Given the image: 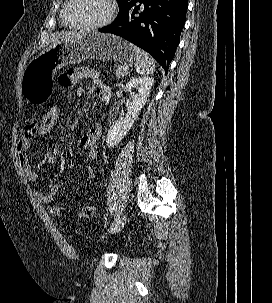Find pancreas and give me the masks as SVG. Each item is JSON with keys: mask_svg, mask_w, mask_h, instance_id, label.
<instances>
[{"mask_svg": "<svg viewBox=\"0 0 272 303\" xmlns=\"http://www.w3.org/2000/svg\"><path fill=\"white\" fill-rule=\"evenodd\" d=\"M114 73L116 75L117 78H121L124 77L126 75L129 74V70L128 69H124V66L121 65H117L114 67Z\"/></svg>", "mask_w": 272, "mask_h": 303, "instance_id": "obj_1", "label": "pancreas"}]
</instances>
